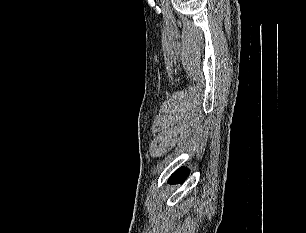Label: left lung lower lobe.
I'll return each instance as SVG.
<instances>
[{
	"mask_svg": "<svg viewBox=\"0 0 306 233\" xmlns=\"http://www.w3.org/2000/svg\"><path fill=\"white\" fill-rule=\"evenodd\" d=\"M189 174V170L185 167L178 169L169 179L170 183H176L178 181L185 180Z\"/></svg>",
	"mask_w": 306,
	"mask_h": 233,
	"instance_id": "obj_1",
	"label": "left lung lower lobe"
}]
</instances>
